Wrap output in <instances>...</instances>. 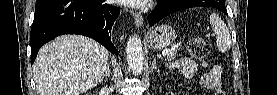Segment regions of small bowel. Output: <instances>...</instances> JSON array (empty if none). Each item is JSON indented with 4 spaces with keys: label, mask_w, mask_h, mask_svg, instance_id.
<instances>
[{
    "label": "small bowel",
    "mask_w": 277,
    "mask_h": 95,
    "mask_svg": "<svg viewBox=\"0 0 277 95\" xmlns=\"http://www.w3.org/2000/svg\"><path fill=\"white\" fill-rule=\"evenodd\" d=\"M173 66L179 67L182 70V74L184 77H193L195 76L200 68H206L207 62L198 63L197 61L190 58H182L178 59L172 63ZM202 82L205 86H210L215 95H225V92L222 88L221 82L219 79L213 80V75L211 72H206L201 76ZM174 94V93H168Z\"/></svg>",
    "instance_id": "obj_1"
}]
</instances>
